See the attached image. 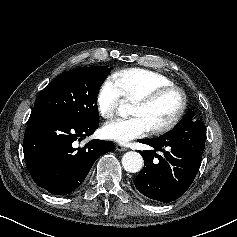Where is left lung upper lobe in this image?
I'll return each mask as SVG.
<instances>
[{"label": "left lung upper lobe", "mask_w": 237, "mask_h": 237, "mask_svg": "<svg viewBox=\"0 0 237 237\" xmlns=\"http://www.w3.org/2000/svg\"><path fill=\"white\" fill-rule=\"evenodd\" d=\"M194 115H195V113L193 112V111H189L184 117H183V119L181 120V121H183L184 119H186V118H188V117H194ZM180 121V122H181ZM179 122V123H180ZM178 123V124H179Z\"/></svg>", "instance_id": "5c2ea615"}]
</instances>
